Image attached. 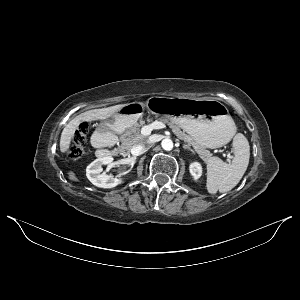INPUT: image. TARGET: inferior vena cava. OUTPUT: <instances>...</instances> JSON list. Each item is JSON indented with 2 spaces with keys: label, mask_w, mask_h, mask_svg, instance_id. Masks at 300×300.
Listing matches in <instances>:
<instances>
[{
  "label": "inferior vena cava",
  "mask_w": 300,
  "mask_h": 300,
  "mask_svg": "<svg viewBox=\"0 0 300 300\" xmlns=\"http://www.w3.org/2000/svg\"><path fill=\"white\" fill-rule=\"evenodd\" d=\"M150 147V142L148 140L133 146L131 149V153L134 156H138L140 154H143L144 152H146L148 150V148Z\"/></svg>",
  "instance_id": "602c4592"
}]
</instances>
